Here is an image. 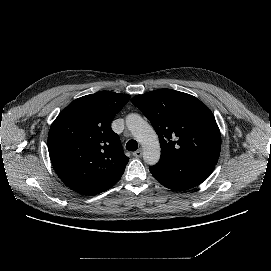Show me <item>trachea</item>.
Wrapping results in <instances>:
<instances>
[{
    "instance_id": "3493384b",
    "label": "trachea",
    "mask_w": 271,
    "mask_h": 271,
    "mask_svg": "<svg viewBox=\"0 0 271 271\" xmlns=\"http://www.w3.org/2000/svg\"><path fill=\"white\" fill-rule=\"evenodd\" d=\"M138 148V143L135 140H129L126 143V149L129 151H136Z\"/></svg>"
}]
</instances>
